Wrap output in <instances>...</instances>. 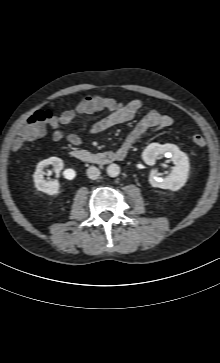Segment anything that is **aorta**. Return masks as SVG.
<instances>
[{
	"instance_id": "1",
	"label": "aorta",
	"mask_w": 220,
	"mask_h": 363,
	"mask_svg": "<svg viewBox=\"0 0 220 363\" xmlns=\"http://www.w3.org/2000/svg\"><path fill=\"white\" fill-rule=\"evenodd\" d=\"M106 171L110 177H117L120 174V167L117 164H110Z\"/></svg>"
}]
</instances>
